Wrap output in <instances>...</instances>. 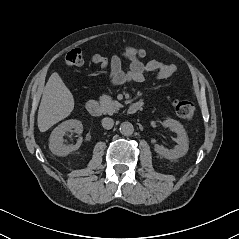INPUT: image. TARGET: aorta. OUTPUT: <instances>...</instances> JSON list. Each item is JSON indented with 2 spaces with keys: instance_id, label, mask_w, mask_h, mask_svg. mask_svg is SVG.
I'll list each match as a JSON object with an SVG mask.
<instances>
[{
  "instance_id": "obj_1",
  "label": "aorta",
  "mask_w": 239,
  "mask_h": 239,
  "mask_svg": "<svg viewBox=\"0 0 239 239\" xmlns=\"http://www.w3.org/2000/svg\"><path fill=\"white\" fill-rule=\"evenodd\" d=\"M120 132L125 136H130L134 132V127L130 122H123L120 125Z\"/></svg>"
}]
</instances>
